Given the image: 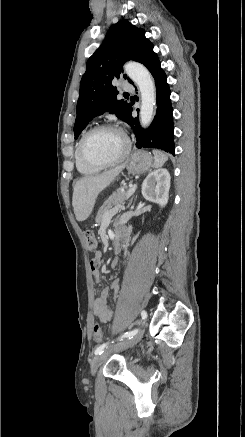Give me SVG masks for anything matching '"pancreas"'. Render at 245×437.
<instances>
[{"label": "pancreas", "instance_id": "1", "mask_svg": "<svg viewBox=\"0 0 245 437\" xmlns=\"http://www.w3.org/2000/svg\"><path fill=\"white\" fill-rule=\"evenodd\" d=\"M128 190H124V187L117 189L113 194L104 202L103 206L98 211L96 221L101 224L103 218L108 214L113 207L123 206L127 197Z\"/></svg>", "mask_w": 245, "mask_h": 437}]
</instances>
